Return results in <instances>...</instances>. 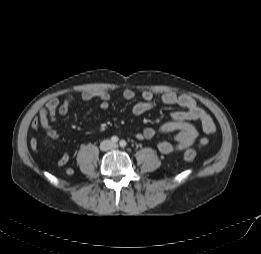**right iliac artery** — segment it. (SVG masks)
I'll use <instances>...</instances> for the list:
<instances>
[{
  "label": "right iliac artery",
  "mask_w": 261,
  "mask_h": 254,
  "mask_svg": "<svg viewBox=\"0 0 261 254\" xmlns=\"http://www.w3.org/2000/svg\"><path fill=\"white\" fill-rule=\"evenodd\" d=\"M118 140H119V139H118L117 136H113V137L111 138L112 143H117Z\"/></svg>",
  "instance_id": "right-iliac-artery-1"
}]
</instances>
